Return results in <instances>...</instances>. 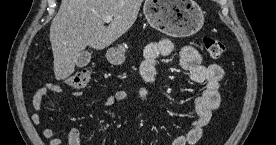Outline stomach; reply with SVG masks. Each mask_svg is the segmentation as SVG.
Segmentation results:
<instances>
[{
    "label": "stomach",
    "mask_w": 276,
    "mask_h": 145,
    "mask_svg": "<svg viewBox=\"0 0 276 145\" xmlns=\"http://www.w3.org/2000/svg\"><path fill=\"white\" fill-rule=\"evenodd\" d=\"M148 23L170 37H187L204 24V13L194 0H146L143 6ZM107 59L113 65L125 61V48H110Z\"/></svg>",
    "instance_id": "0dacf381"
}]
</instances>
